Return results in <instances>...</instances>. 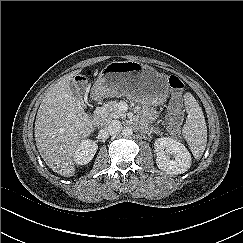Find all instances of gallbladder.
Here are the masks:
<instances>
[{
    "label": "gallbladder",
    "mask_w": 243,
    "mask_h": 243,
    "mask_svg": "<svg viewBox=\"0 0 243 243\" xmlns=\"http://www.w3.org/2000/svg\"><path fill=\"white\" fill-rule=\"evenodd\" d=\"M74 94H75V96H78L76 92ZM83 106H84V104H83Z\"/></svg>",
    "instance_id": "gallbladder-1"
}]
</instances>
